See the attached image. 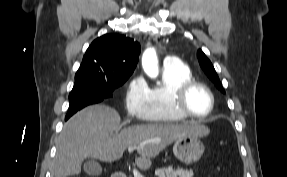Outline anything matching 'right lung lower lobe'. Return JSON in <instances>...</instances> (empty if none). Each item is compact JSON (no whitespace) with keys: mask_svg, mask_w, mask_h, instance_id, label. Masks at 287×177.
<instances>
[{"mask_svg":"<svg viewBox=\"0 0 287 177\" xmlns=\"http://www.w3.org/2000/svg\"><path fill=\"white\" fill-rule=\"evenodd\" d=\"M102 100V98L97 96H83L70 100L69 110L65 119L67 120L70 116H72L74 113L84 108L85 106L99 103Z\"/></svg>","mask_w":287,"mask_h":177,"instance_id":"obj_1","label":"right lung lower lobe"}]
</instances>
